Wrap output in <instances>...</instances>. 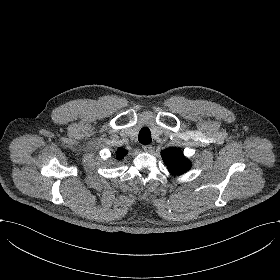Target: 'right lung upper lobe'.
Returning a JSON list of instances; mask_svg holds the SVG:
<instances>
[{"mask_svg": "<svg viewBox=\"0 0 280 280\" xmlns=\"http://www.w3.org/2000/svg\"><path fill=\"white\" fill-rule=\"evenodd\" d=\"M116 154H117V157H118L119 159H121V158L124 157L125 154H127V151L124 150L123 148H118Z\"/></svg>", "mask_w": 280, "mask_h": 280, "instance_id": "obj_1", "label": "right lung upper lobe"}]
</instances>
